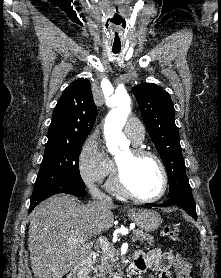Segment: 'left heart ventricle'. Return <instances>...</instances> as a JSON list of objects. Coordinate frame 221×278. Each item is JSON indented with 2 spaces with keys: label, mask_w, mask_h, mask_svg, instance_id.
<instances>
[{
  "label": "left heart ventricle",
  "mask_w": 221,
  "mask_h": 278,
  "mask_svg": "<svg viewBox=\"0 0 221 278\" xmlns=\"http://www.w3.org/2000/svg\"><path fill=\"white\" fill-rule=\"evenodd\" d=\"M125 178L135 193L142 196H155L162 187V174L157 162L150 157L135 158L130 149L116 155Z\"/></svg>",
  "instance_id": "obj_1"
}]
</instances>
